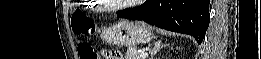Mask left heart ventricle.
I'll return each mask as SVG.
<instances>
[{"label":"left heart ventricle","mask_w":261,"mask_h":59,"mask_svg":"<svg viewBox=\"0 0 261 59\" xmlns=\"http://www.w3.org/2000/svg\"><path fill=\"white\" fill-rule=\"evenodd\" d=\"M109 4L111 5H118L121 3H125L126 1H122V0H115V1H107Z\"/></svg>","instance_id":"b2bd125f"}]
</instances>
